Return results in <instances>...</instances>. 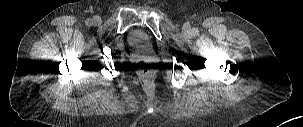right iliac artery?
Here are the masks:
<instances>
[{"label":"right iliac artery","mask_w":303,"mask_h":127,"mask_svg":"<svg viewBox=\"0 0 303 127\" xmlns=\"http://www.w3.org/2000/svg\"><path fill=\"white\" fill-rule=\"evenodd\" d=\"M85 23H86L87 26H90L92 24V20L91 19H87Z\"/></svg>","instance_id":"82829eb1"}]
</instances>
